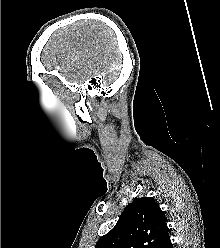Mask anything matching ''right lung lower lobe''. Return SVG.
<instances>
[{"mask_svg":"<svg viewBox=\"0 0 220 248\" xmlns=\"http://www.w3.org/2000/svg\"><path fill=\"white\" fill-rule=\"evenodd\" d=\"M159 248H172L169 236L165 239V241L161 244Z\"/></svg>","mask_w":220,"mask_h":248,"instance_id":"obj_1","label":"right lung lower lobe"}]
</instances>
